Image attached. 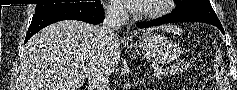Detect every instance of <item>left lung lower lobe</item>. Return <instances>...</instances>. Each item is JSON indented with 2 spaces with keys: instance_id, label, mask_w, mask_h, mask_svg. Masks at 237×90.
<instances>
[{
  "instance_id": "1",
  "label": "left lung lower lobe",
  "mask_w": 237,
  "mask_h": 90,
  "mask_svg": "<svg viewBox=\"0 0 237 90\" xmlns=\"http://www.w3.org/2000/svg\"><path fill=\"white\" fill-rule=\"evenodd\" d=\"M173 22H202V23H208L216 26L219 28L223 33V27L219 20L210 19L206 17L196 16L188 13H176L173 12L169 15H166L158 20L151 21V22H142L137 23V27L139 28H147L152 26H157L165 23H173Z\"/></svg>"
}]
</instances>
